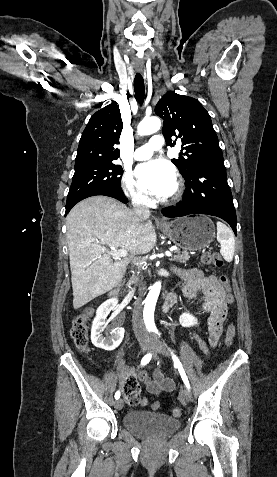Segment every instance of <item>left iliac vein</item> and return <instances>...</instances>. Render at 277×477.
<instances>
[{"mask_svg":"<svg viewBox=\"0 0 277 477\" xmlns=\"http://www.w3.org/2000/svg\"><path fill=\"white\" fill-rule=\"evenodd\" d=\"M150 349L154 354L155 353H160L164 356H170L169 349L155 337L151 338ZM181 396L187 402H189L192 399L191 391L187 387H185L182 390Z\"/></svg>","mask_w":277,"mask_h":477,"instance_id":"4c4485c4","label":"left iliac vein"}]
</instances>
